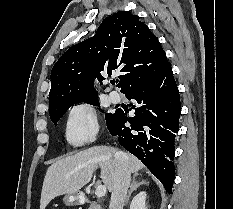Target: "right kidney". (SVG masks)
I'll return each mask as SVG.
<instances>
[{
    "instance_id": "right-kidney-1",
    "label": "right kidney",
    "mask_w": 233,
    "mask_h": 209,
    "mask_svg": "<svg viewBox=\"0 0 233 209\" xmlns=\"http://www.w3.org/2000/svg\"><path fill=\"white\" fill-rule=\"evenodd\" d=\"M146 196L147 194L145 191L137 194L130 204V209H148V206L146 205Z\"/></svg>"
}]
</instances>
